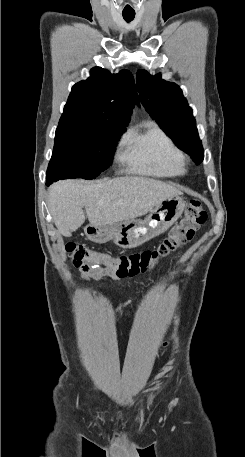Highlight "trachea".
I'll return each instance as SVG.
<instances>
[{
    "instance_id": "3493384b",
    "label": "trachea",
    "mask_w": 245,
    "mask_h": 457,
    "mask_svg": "<svg viewBox=\"0 0 245 457\" xmlns=\"http://www.w3.org/2000/svg\"><path fill=\"white\" fill-rule=\"evenodd\" d=\"M123 18L126 22H132V20H134V17H135V13H123Z\"/></svg>"
}]
</instances>
